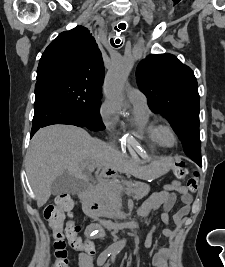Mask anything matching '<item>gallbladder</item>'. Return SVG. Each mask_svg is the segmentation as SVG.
Here are the masks:
<instances>
[{
	"label": "gallbladder",
	"instance_id": "gallbladder-1",
	"mask_svg": "<svg viewBox=\"0 0 225 267\" xmlns=\"http://www.w3.org/2000/svg\"><path fill=\"white\" fill-rule=\"evenodd\" d=\"M83 187V184L67 172L57 177L51 184V192L53 195H61L63 193H77Z\"/></svg>",
	"mask_w": 225,
	"mask_h": 267
}]
</instances>
